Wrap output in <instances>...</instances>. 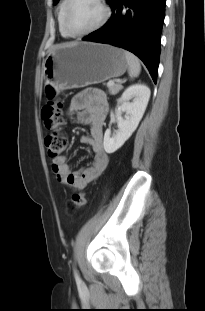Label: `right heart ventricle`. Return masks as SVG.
<instances>
[{"instance_id":"right-heart-ventricle-1","label":"right heart ventricle","mask_w":205,"mask_h":311,"mask_svg":"<svg viewBox=\"0 0 205 311\" xmlns=\"http://www.w3.org/2000/svg\"><path fill=\"white\" fill-rule=\"evenodd\" d=\"M67 0H61L58 10H57V23H58V28L60 31V34L64 38H69L70 35L66 32L64 25H63V16H64V8L66 5Z\"/></svg>"}]
</instances>
